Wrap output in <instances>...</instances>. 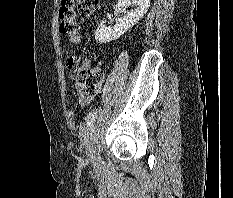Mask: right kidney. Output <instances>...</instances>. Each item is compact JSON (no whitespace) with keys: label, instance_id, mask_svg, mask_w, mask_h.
Returning <instances> with one entry per match:
<instances>
[{"label":"right kidney","instance_id":"ca27d5eb","mask_svg":"<svg viewBox=\"0 0 233 198\" xmlns=\"http://www.w3.org/2000/svg\"><path fill=\"white\" fill-rule=\"evenodd\" d=\"M127 6L134 7V10L121 17L114 27H106L103 23L99 25L95 31V39L98 43L116 40L131 29L147 12L150 0H118L115 7L124 12Z\"/></svg>","mask_w":233,"mask_h":198}]
</instances>
